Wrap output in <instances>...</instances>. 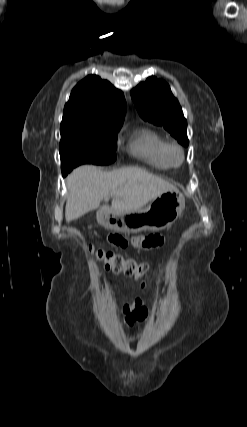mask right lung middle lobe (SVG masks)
I'll return each mask as SVG.
<instances>
[{
    "mask_svg": "<svg viewBox=\"0 0 247 427\" xmlns=\"http://www.w3.org/2000/svg\"><path fill=\"white\" fill-rule=\"evenodd\" d=\"M122 125L104 126L77 117H63L60 158L63 175L83 163L108 165L116 160L117 132Z\"/></svg>",
    "mask_w": 247,
    "mask_h": 427,
    "instance_id": "right-lung-middle-lobe-1",
    "label": "right lung middle lobe"
}]
</instances>
